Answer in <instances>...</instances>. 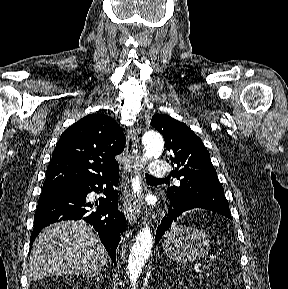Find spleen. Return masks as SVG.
Masks as SVG:
<instances>
[{
	"instance_id": "1",
	"label": "spleen",
	"mask_w": 288,
	"mask_h": 289,
	"mask_svg": "<svg viewBox=\"0 0 288 289\" xmlns=\"http://www.w3.org/2000/svg\"><path fill=\"white\" fill-rule=\"evenodd\" d=\"M173 230H174V227H172V228L167 232V234L171 233Z\"/></svg>"
}]
</instances>
